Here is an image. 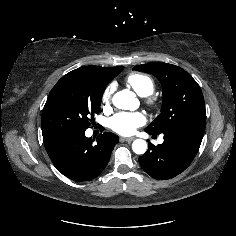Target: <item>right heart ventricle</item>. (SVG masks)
Here are the masks:
<instances>
[{
  "mask_svg": "<svg viewBox=\"0 0 236 236\" xmlns=\"http://www.w3.org/2000/svg\"><path fill=\"white\" fill-rule=\"evenodd\" d=\"M125 81L141 97L149 96L154 91L153 79L146 74L133 73L128 75Z\"/></svg>",
  "mask_w": 236,
  "mask_h": 236,
  "instance_id": "e07e8e85",
  "label": "right heart ventricle"
}]
</instances>
